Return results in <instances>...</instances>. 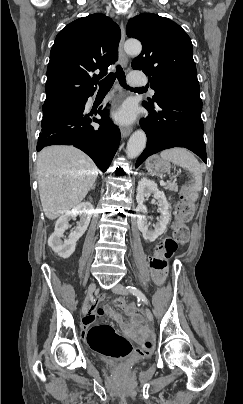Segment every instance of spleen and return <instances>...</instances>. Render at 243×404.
<instances>
[{
    "label": "spleen",
    "instance_id": "3e777b00",
    "mask_svg": "<svg viewBox=\"0 0 243 404\" xmlns=\"http://www.w3.org/2000/svg\"><path fill=\"white\" fill-rule=\"evenodd\" d=\"M161 160H168V162H173L176 166H180V168H184V170H188L191 172L194 178V184L187 188L189 194L188 198L191 202H196L202 188V170L201 166L196 160L193 154L187 152L185 148H172V150H164L160 154Z\"/></svg>",
    "mask_w": 243,
    "mask_h": 404
}]
</instances>
